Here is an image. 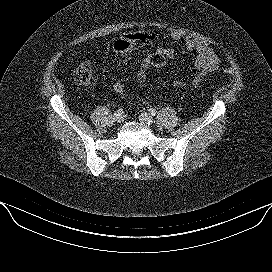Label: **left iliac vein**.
<instances>
[{
  "mask_svg": "<svg viewBox=\"0 0 272 272\" xmlns=\"http://www.w3.org/2000/svg\"><path fill=\"white\" fill-rule=\"evenodd\" d=\"M139 120L146 126H150L153 123V117L149 113H146V112H143L140 114Z\"/></svg>",
  "mask_w": 272,
  "mask_h": 272,
  "instance_id": "1",
  "label": "left iliac vein"
}]
</instances>
